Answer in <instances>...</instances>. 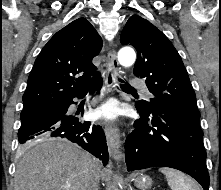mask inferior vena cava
Masks as SVG:
<instances>
[{"instance_id":"obj_1","label":"inferior vena cava","mask_w":221,"mask_h":190,"mask_svg":"<svg viewBox=\"0 0 221 190\" xmlns=\"http://www.w3.org/2000/svg\"><path fill=\"white\" fill-rule=\"evenodd\" d=\"M100 163L98 161L94 162L89 182L87 184V190H98L99 180H100Z\"/></svg>"}]
</instances>
